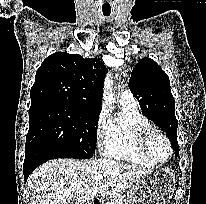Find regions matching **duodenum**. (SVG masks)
<instances>
[{"instance_id": "1", "label": "duodenum", "mask_w": 206, "mask_h": 204, "mask_svg": "<svg viewBox=\"0 0 206 204\" xmlns=\"http://www.w3.org/2000/svg\"><path fill=\"white\" fill-rule=\"evenodd\" d=\"M90 204H100V201L98 199H94L90 202Z\"/></svg>"}]
</instances>
